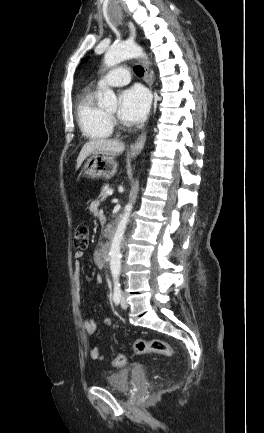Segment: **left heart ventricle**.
I'll return each mask as SVG.
<instances>
[{"instance_id":"1","label":"left heart ventricle","mask_w":264,"mask_h":433,"mask_svg":"<svg viewBox=\"0 0 264 433\" xmlns=\"http://www.w3.org/2000/svg\"><path fill=\"white\" fill-rule=\"evenodd\" d=\"M108 112L111 113V114H114L116 112V109H111Z\"/></svg>"}]
</instances>
